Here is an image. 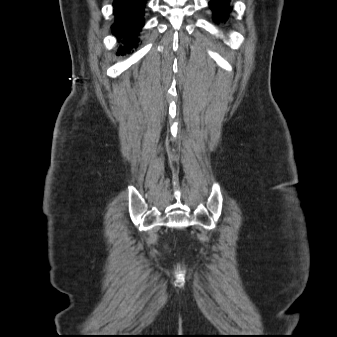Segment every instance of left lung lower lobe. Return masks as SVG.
<instances>
[{
    "instance_id": "0a47b994",
    "label": "left lung lower lobe",
    "mask_w": 337,
    "mask_h": 337,
    "mask_svg": "<svg viewBox=\"0 0 337 337\" xmlns=\"http://www.w3.org/2000/svg\"><path fill=\"white\" fill-rule=\"evenodd\" d=\"M231 0H211L210 7L214 11V19L216 22H226L231 11Z\"/></svg>"
}]
</instances>
